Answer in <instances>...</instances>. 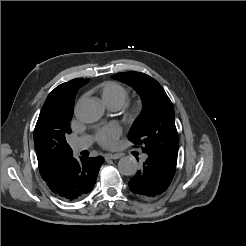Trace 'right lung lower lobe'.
<instances>
[{
    "label": "right lung lower lobe",
    "instance_id": "98d812e1",
    "mask_svg": "<svg viewBox=\"0 0 246 246\" xmlns=\"http://www.w3.org/2000/svg\"><path fill=\"white\" fill-rule=\"evenodd\" d=\"M103 162L102 156L81 157L80 161L71 158L61 166L47 185L55 195L63 200H79L93 189Z\"/></svg>",
    "mask_w": 246,
    "mask_h": 246
}]
</instances>
